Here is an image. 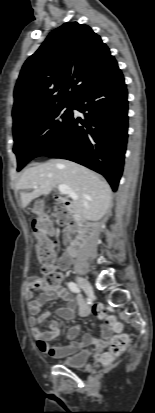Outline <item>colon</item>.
Here are the masks:
<instances>
[{
	"label": "colon",
	"mask_w": 155,
	"mask_h": 413,
	"mask_svg": "<svg viewBox=\"0 0 155 413\" xmlns=\"http://www.w3.org/2000/svg\"><path fill=\"white\" fill-rule=\"evenodd\" d=\"M55 213L59 222L64 223L66 212L62 208H56ZM33 232L39 239L37 246V256L41 264L44 283L51 288L57 287L61 282V277L57 267L63 268L69 264V258L61 257L57 259L55 248L56 243L51 242L48 236L51 232V221L49 214L41 204H36L33 209L31 220ZM92 312L99 318L106 320L107 325L115 332L120 333L123 325L113 315L107 314L101 303L92 306ZM130 339L125 334H118L111 340L109 351L101 356L103 364H109L113 359L119 357L129 346Z\"/></svg>",
	"instance_id": "obj_1"
}]
</instances>
